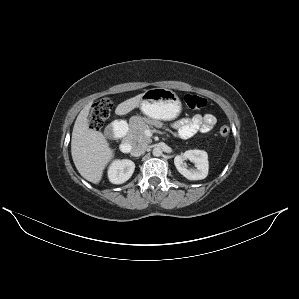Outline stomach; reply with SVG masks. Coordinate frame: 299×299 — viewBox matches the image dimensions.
<instances>
[{"mask_svg":"<svg viewBox=\"0 0 299 299\" xmlns=\"http://www.w3.org/2000/svg\"><path fill=\"white\" fill-rule=\"evenodd\" d=\"M140 109L151 119L173 120L181 111V101L178 95L170 89L152 88L144 92Z\"/></svg>","mask_w":299,"mask_h":299,"instance_id":"1","label":"stomach"}]
</instances>
